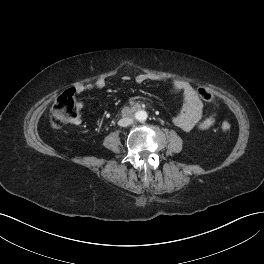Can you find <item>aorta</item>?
Segmentation results:
<instances>
[{"instance_id": "762f6f07", "label": "aorta", "mask_w": 264, "mask_h": 264, "mask_svg": "<svg viewBox=\"0 0 264 264\" xmlns=\"http://www.w3.org/2000/svg\"><path fill=\"white\" fill-rule=\"evenodd\" d=\"M147 118H148V114H147V112L144 111V110H140V111H137V112L135 113V119H136L137 121L143 122V121H145Z\"/></svg>"}]
</instances>
